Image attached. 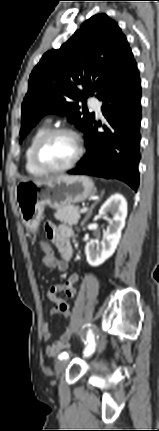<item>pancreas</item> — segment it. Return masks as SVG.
<instances>
[{"label": "pancreas", "mask_w": 159, "mask_h": 431, "mask_svg": "<svg viewBox=\"0 0 159 431\" xmlns=\"http://www.w3.org/2000/svg\"><path fill=\"white\" fill-rule=\"evenodd\" d=\"M78 212V206L67 205L65 207L58 208L54 213V217L61 222L68 223L69 225H77L81 218Z\"/></svg>", "instance_id": "1"}]
</instances>
